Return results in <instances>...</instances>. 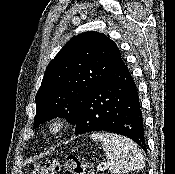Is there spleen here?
Listing matches in <instances>:
<instances>
[{"label": "spleen", "instance_id": "spleen-1", "mask_svg": "<svg viewBox=\"0 0 175 174\" xmlns=\"http://www.w3.org/2000/svg\"><path fill=\"white\" fill-rule=\"evenodd\" d=\"M90 138L101 143L111 174L140 171L145 167L141 150L130 139L106 132L92 133Z\"/></svg>", "mask_w": 175, "mask_h": 174}]
</instances>
